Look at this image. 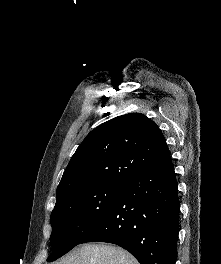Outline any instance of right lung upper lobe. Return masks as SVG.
I'll use <instances>...</instances> for the list:
<instances>
[{
	"instance_id": "obj_1",
	"label": "right lung upper lobe",
	"mask_w": 221,
	"mask_h": 264,
	"mask_svg": "<svg viewBox=\"0 0 221 264\" xmlns=\"http://www.w3.org/2000/svg\"><path fill=\"white\" fill-rule=\"evenodd\" d=\"M171 161L158 126L141 113L111 119L91 131L72 156L57 187L56 205L108 182H127Z\"/></svg>"
}]
</instances>
